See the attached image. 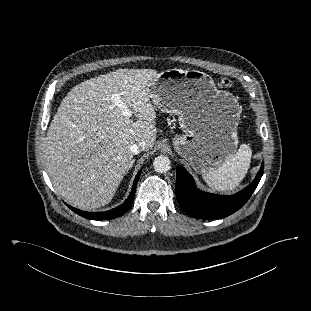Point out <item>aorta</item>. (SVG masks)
Listing matches in <instances>:
<instances>
[{"mask_svg": "<svg viewBox=\"0 0 311 311\" xmlns=\"http://www.w3.org/2000/svg\"><path fill=\"white\" fill-rule=\"evenodd\" d=\"M154 170L158 173H165L171 168V161L167 156L160 155L154 159Z\"/></svg>", "mask_w": 311, "mask_h": 311, "instance_id": "1", "label": "aorta"}]
</instances>
